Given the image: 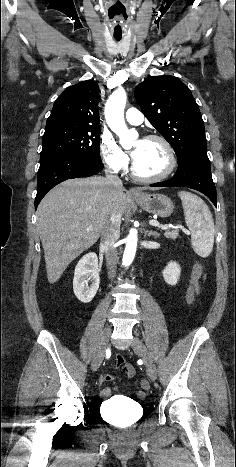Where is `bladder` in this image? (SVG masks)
I'll use <instances>...</instances> for the list:
<instances>
[{
  "mask_svg": "<svg viewBox=\"0 0 236 467\" xmlns=\"http://www.w3.org/2000/svg\"><path fill=\"white\" fill-rule=\"evenodd\" d=\"M103 414L110 418V422L118 428H127L136 423L134 416L141 417L143 407L140 403L129 401L124 398H110L101 404ZM119 413L113 416L115 410Z\"/></svg>",
  "mask_w": 236,
  "mask_h": 467,
  "instance_id": "1",
  "label": "bladder"
}]
</instances>
